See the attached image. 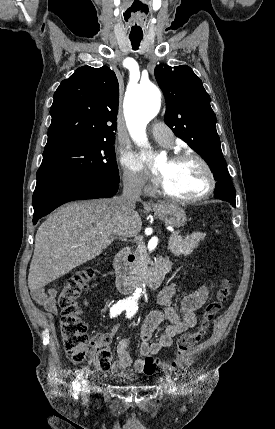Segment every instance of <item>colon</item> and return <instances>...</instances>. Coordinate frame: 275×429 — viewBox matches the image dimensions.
<instances>
[{
    "label": "colon",
    "instance_id": "obj_1",
    "mask_svg": "<svg viewBox=\"0 0 275 429\" xmlns=\"http://www.w3.org/2000/svg\"><path fill=\"white\" fill-rule=\"evenodd\" d=\"M95 275L92 267H87L67 280L58 294V306L61 311V336L66 353L76 363L85 360L92 362L99 370L106 371L111 367L112 355L106 341L96 339L90 349L87 335V326L79 317L77 298L79 294L89 286ZM231 293V281L223 279L216 297L208 303L202 313L196 328L183 334L177 341V354L170 365V371L174 375H182L191 365L193 358L191 350L206 335L208 328L222 309ZM154 359L146 363L145 373L152 374L156 369Z\"/></svg>",
    "mask_w": 275,
    "mask_h": 429
}]
</instances>
